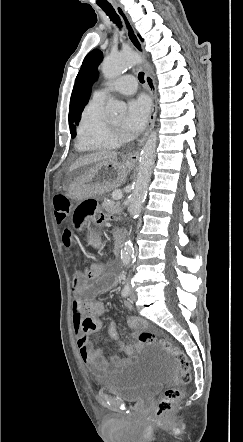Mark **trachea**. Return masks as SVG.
Listing matches in <instances>:
<instances>
[{"mask_svg":"<svg viewBox=\"0 0 243 442\" xmlns=\"http://www.w3.org/2000/svg\"><path fill=\"white\" fill-rule=\"evenodd\" d=\"M102 10L109 16L111 21H113L119 28H121V22L119 16L116 14L112 6H100ZM138 79L141 83H144V73L140 72L138 74Z\"/></svg>","mask_w":243,"mask_h":442,"instance_id":"3493384b","label":"trachea"}]
</instances>
